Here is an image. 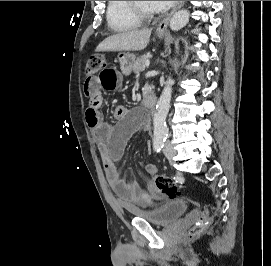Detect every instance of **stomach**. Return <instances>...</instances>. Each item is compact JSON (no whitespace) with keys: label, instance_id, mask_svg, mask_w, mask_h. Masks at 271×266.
Here are the masks:
<instances>
[{"label":"stomach","instance_id":"stomach-1","mask_svg":"<svg viewBox=\"0 0 271 266\" xmlns=\"http://www.w3.org/2000/svg\"><path fill=\"white\" fill-rule=\"evenodd\" d=\"M157 36L162 38L164 33H157ZM118 59L122 73L128 75L131 72L132 66L135 62V55L132 53L121 52L118 54Z\"/></svg>","mask_w":271,"mask_h":266}]
</instances>
